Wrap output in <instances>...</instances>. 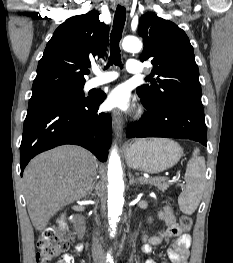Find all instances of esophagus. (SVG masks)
Segmentation results:
<instances>
[{"label": "esophagus", "mask_w": 233, "mask_h": 263, "mask_svg": "<svg viewBox=\"0 0 233 263\" xmlns=\"http://www.w3.org/2000/svg\"><path fill=\"white\" fill-rule=\"evenodd\" d=\"M120 4L122 6H128V0H120ZM112 120H113V125H114V130L118 136H121L122 130H123V125H124V120L122 117V114L118 110H114L112 112Z\"/></svg>", "instance_id": "34e87169"}]
</instances>
